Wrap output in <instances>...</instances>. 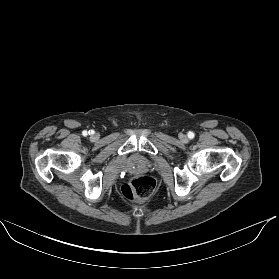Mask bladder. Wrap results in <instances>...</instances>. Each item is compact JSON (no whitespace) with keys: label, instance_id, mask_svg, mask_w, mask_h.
<instances>
[{"label":"bladder","instance_id":"31cf9c89","mask_svg":"<svg viewBox=\"0 0 279 279\" xmlns=\"http://www.w3.org/2000/svg\"><path fill=\"white\" fill-rule=\"evenodd\" d=\"M129 163L134 167H142L146 164V161L139 155H133L130 157Z\"/></svg>","mask_w":279,"mask_h":279}]
</instances>
